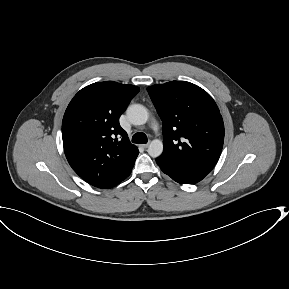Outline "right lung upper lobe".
Returning a JSON list of instances; mask_svg holds the SVG:
<instances>
[{"label": "right lung upper lobe", "mask_w": 289, "mask_h": 289, "mask_svg": "<svg viewBox=\"0 0 289 289\" xmlns=\"http://www.w3.org/2000/svg\"><path fill=\"white\" fill-rule=\"evenodd\" d=\"M139 92L133 85L106 81L81 89L62 121L66 158L72 169L98 188H111L131 172L138 149L130 143L119 118Z\"/></svg>", "instance_id": "1"}]
</instances>
